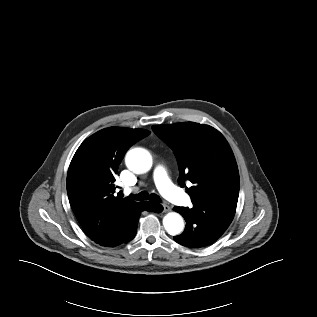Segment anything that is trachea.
Segmentation results:
<instances>
[{
  "instance_id": "obj_1",
  "label": "trachea",
  "mask_w": 317,
  "mask_h": 317,
  "mask_svg": "<svg viewBox=\"0 0 317 317\" xmlns=\"http://www.w3.org/2000/svg\"><path fill=\"white\" fill-rule=\"evenodd\" d=\"M132 198L135 200H138V201H143V200L149 199L150 201L155 202V203L161 202V199L157 194L152 193L149 195V193L147 191H142L139 194L132 196Z\"/></svg>"
}]
</instances>
